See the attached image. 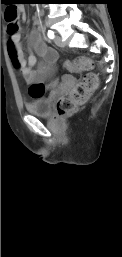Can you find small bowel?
Instances as JSON below:
<instances>
[{
	"mask_svg": "<svg viewBox=\"0 0 122 257\" xmlns=\"http://www.w3.org/2000/svg\"><path fill=\"white\" fill-rule=\"evenodd\" d=\"M17 11L23 19L26 18L23 6H20ZM33 25L34 29L29 37L28 55L22 49V35L20 30L18 29L13 34H10L8 31V49L9 51L11 49V52H8V64H12L11 73H20L19 77L24 78L28 83L41 82L42 80L49 82V79L55 73V64L58 55L56 51L48 47L43 41L40 30L41 22L37 17L34 18ZM33 51L41 57L40 62L37 61V57L33 54Z\"/></svg>",
	"mask_w": 122,
	"mask_h": 257,
	"instance_id": "c3829d8e",
	"label": "small bowel"
}]
</instances>
